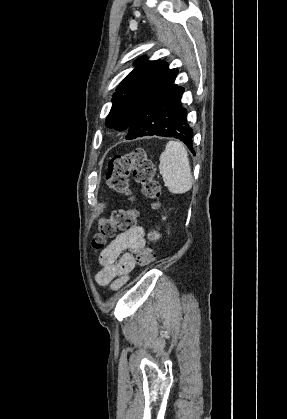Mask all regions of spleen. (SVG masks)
Here are the masks:
<instances>
[{
  "label": "spleen",
  "mask_w": 287,
  "mask_h": 419,
  "mask_svg": "<svg viewBox=\"0 0 287 419\" xmlns=\"http://www.w3.org/2000/svg\"><path fill=\"white\" fill-rule=\"evenodd\" d=\"M159 171L168 190L183 194L192 187V173L185 146L178 141H169L160 155Z\"/></svg>",
  "instance_id": "spleen-1"
}]
</instances>
